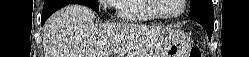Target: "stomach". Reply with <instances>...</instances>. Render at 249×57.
<instances>
[{"label": "stomach", "mask_w": 249, "mask_h": 57, "mask_svg": "<svg viewBox=\"0 0 249 57\" xmlns=\"http://www.w3.org/2000/svg\"><path fill=\"white\" fill-rule=\"evenodd\" d=\"M190 38L180 30H169L161 34L153 57H188Z\"/></svg>", "instance_id": "obj_1"}]
</instances>
